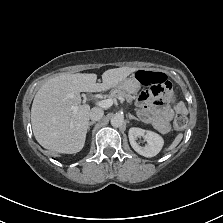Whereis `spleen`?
<instances>
[{"label": "spleen", "instance_id": "1", "mask_svg": "<svg viewBox=\"0 0 223 223\" xmlns=\"http://www.w3.org/2000/svg\"><path fill=\"white\" fill-rule=\"evenodd\" d=\"M183 138L182 134H178L177 137L175 138L174 142L171 144V146L169 147V149H174L181 141V139Z\"/></svg>", "mask_w": 223, "mask_h": 223}]
</instances>
